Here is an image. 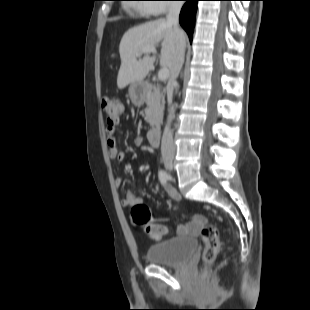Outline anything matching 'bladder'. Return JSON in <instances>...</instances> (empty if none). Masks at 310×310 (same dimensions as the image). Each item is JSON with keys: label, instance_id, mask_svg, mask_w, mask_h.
<instances>
[{"label": "bladder", "instance_id": "bladder-1", "mask_svg": "<svg viewBox=\"0 0 310 310\" xmlns=\"http://www.w3.org/2000/svg\"><path fill=\"white\" fill-rule=\"evenodd\" d=\"M197 248V241L193 238H168L148 247L146 259L150 264L179 266L188 262Z\"/></svg>", "mask_w": 310, "mask_h": 310}]
</instances>
